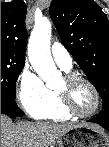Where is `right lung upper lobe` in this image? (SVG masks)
I'll use <instances>...</instances> for the list:
<instances>
[{
    "mask_svg": "<svg viewBox=\"0 0 109 147\" xmlns=\"http://www.w3.org/2000/svg\"><path fill=\"white\" fill-rule=\"evenodd\" d=\"M26 4L23 0L1 2V50L25 58L27 29Z\"/></svg>",
    "mask_w": 109,
    "mask_h": 147,
    "instance_id": "right-lung-upper-lobe-1",
    "label": "right lung upper lobe"
}]
</instances>
